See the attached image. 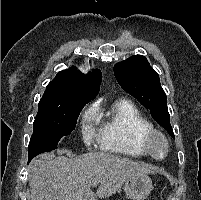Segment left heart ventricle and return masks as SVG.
<instances>
[{"mask_svg":"<svg viewBox=\"0 0 201 200\" xmlns=\"http://www.w3.org/2000/svg\"><path fill=\"white\" fill-rule=\"evenodd\" d=\"M154 154L157 157H162L165 154L166 146L162 139L156 138L153 142Z\"/></svg>","mask_w":201,"mask_h":200,"instance_id":"obj_1","label":"left heart ventricle"}]
</instances>
